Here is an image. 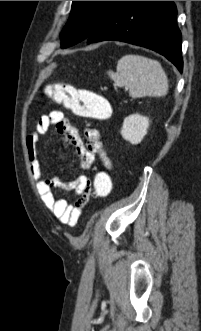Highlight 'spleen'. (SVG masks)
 <instances>
[{
    "instance_id": "3e777b00",
    "label": "spleen",
    "mask_w": 201,
    "mask_h": 331,
    "mask_svg": "<svg viewBox=\"0 0 201 331\" xmlns=\"http://www.w3.org/2000/svg\"><path fill=\"white\" fill-rule=\"evenodd\" d=\"M117 72L107 74L119 87H127L133 98L164 97L168 94L167 75L156 60L128 54L117 62Z\"/></svg>"
}]
</instances>
